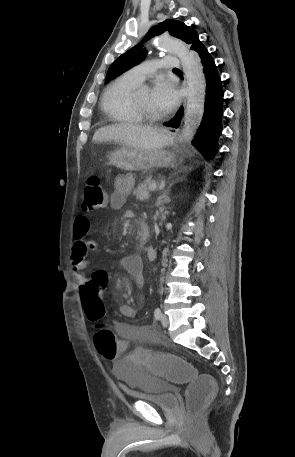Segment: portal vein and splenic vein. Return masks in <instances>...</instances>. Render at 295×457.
<instances>
[{
    "label": "portal vein and splenic vein",
    "instance_id": "1",
    "mask_svg": "<svg viewBox=\"0 0 295 457\" xmlns=\"http://www.w3.org/2000/svg\"><path fill=\"white\" fill-rule=\"evenodd\" d=\"M157 187V184L156 183H152L150 186H149V190L153 191L155 190Z\"/></svg>",
    "mask_w": 295,
    "mask_h": 457
}]
</instances>
